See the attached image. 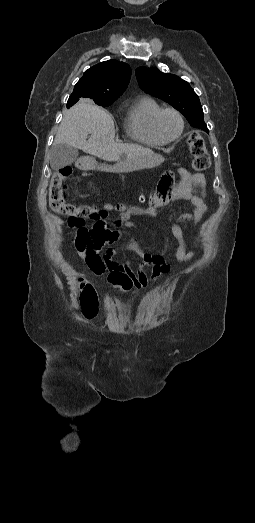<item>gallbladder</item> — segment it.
Masks as SVG:
<instances>
[{"label":"gallbladder","instance_id":"1","mask_svg":"<svg viewBox=\"0 0 255 523\" xmlns=\"http://www.w3.org/2000/svg\"><path fill=\"white\" fill-rule=\"evenodd\" d=\"M79 152L77 148L68 144H54L50 150V164L52 170H60L75 162Z\"/></svg>","mask_w":255,"mask_h":523}]
</instances>
